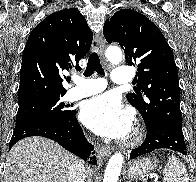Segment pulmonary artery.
<instances>
[{
	"label": "pulmonary artery",
	"mask_w": 196,
	"mask_h": 182,
	"mask_svg": "<svg viewBox=\"0 0 196 182\" xmlns=\"http://www.w3.org/2000/svg\"><path fill=\"white\" fill-rule=\"evenodd\" d=\"M112 81L117 85H129L133 81V73L128 67H117L112 74ZM75 86L68 91V99L78 100L102 92L106 88L103 78H77Z\"/></svg>",
	"instance_id": "1"
}]
</instances>
